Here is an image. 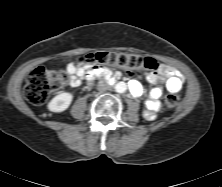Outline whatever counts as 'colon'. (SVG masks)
<instances>
[{"instance_id":"obj_1","label":"colon","mask_w":222,"mask_h":187,"mask_svg":"<svg viewBox=\"0 0 222 187\" xmlns=\"http://www.w3.org/2000/svg\"><path fill=\"white\" fill-rule=\"evenodd\" d=\"M78 64L87 68L89 73L97 70L106 71L109 67H119L130 72L157 68V62L153 58L106 51L82 56L79 58ZM68 81V74L64 71L49 70L42 66L36 67L27 77L24 96L31 104H43L53 91L60 89ZM178 103L179 96L176 93L166 94L163 100L166 109H173Z\"/></svg>"}]
</instances>
